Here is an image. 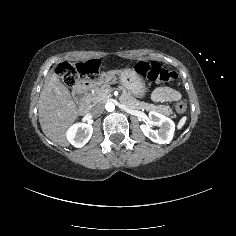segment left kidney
Listing matches in <instances>:
<instances>
[{
  "mask_svg": "<svg viewBox=\"0 0 236 236\" xmlns=\"http://www.w3.org/2000/svg\"><path fill=\"white\" fill-rule=\"evenodd\" d=\"M149 118L154 125H159V129L153 130L145 124H140V130L144 136L156 144L169 143L173 137L175 128L174 122L156 111H151L149 113Z\"/></svg>",
  "mask_w": 236,
  "mask_h": 236,
  "instance_id": "left-kidney-1",
  "label": "left kidney"
}]
</instances>
